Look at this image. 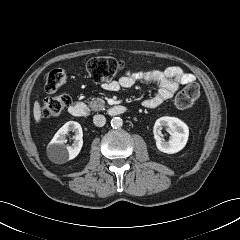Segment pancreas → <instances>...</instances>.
I'll return each instance as SVG.
<instances>
[{"label":"pancreas","mask_w":240,"mask_h":240,"mask_svg":"<svg viewBox=\"0 0 240 240\" xmlns=\"http://www.w3.org/2000/svg\"><path fill=\"white\" fill-rule=\"evenodd\" d=\"M89 106L91 107L92 110H95V111L104 110L105 101L101 98H95L89 102Z\"/></svg>","instance_id":"1"}]
</instances>
